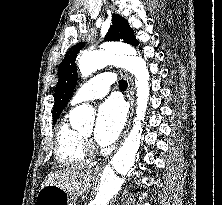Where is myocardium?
Listing matches in <instances>:
<instances>
[{
  "mask_svg": "<svg viewBox=\"0 0 222 205\" xmlns=\"http://www.w3.org/2000/svg\"><path fill=\"white\" fill-rule=\"evenodd\" d=\"M79 135L82 138V140L85 142L86 148H87V145H89L91 143L90 136H86V135H84L82 133H79Z\"/></svg>",
  "mask_w": 222,
  "mask_h": 205,
  "instance_id": "obj_1",
  "label": "myocardium"
}]
</instances>
